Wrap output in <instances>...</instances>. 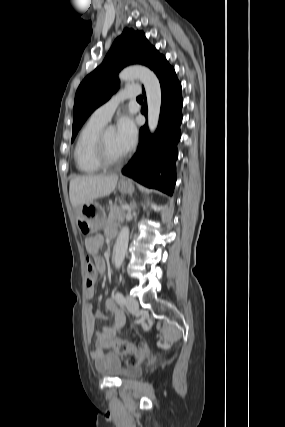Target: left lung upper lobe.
<instances>
[{
  "mask_svg": "<svg viewBox=\"0 0 285 427\" xmlns=\"http://www.w3.org/2000/svg\"><path fill=\"white\" fill-rule=\"evenodd\" d=\"M163 58L142 31L124 29L108 54L77 89L74 103L72 141L88 116L118 89V72L127 65L142 64L154 69Z\"/></svg>",
  "mask_w": 285,
  "mask_h": 427,
  "instance_id": "obj_1",
  "label": "left lung upper lobe"
}]
</instances>
